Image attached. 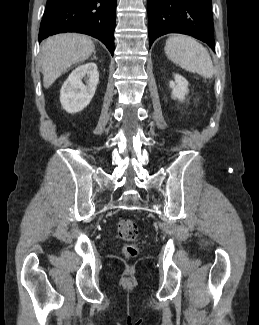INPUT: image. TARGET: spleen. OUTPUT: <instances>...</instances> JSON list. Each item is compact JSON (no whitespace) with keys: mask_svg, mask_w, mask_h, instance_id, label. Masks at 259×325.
<instances>
[{"mask_svg":"<svg viewBox=\"0 0 259 325\" xmlns=\"http://www.w3.org/2000/svg\"><path fill=\"white\" fill-rule=\"evenodd\" d=\"M166 56L181 68L205 78L214 74L212 59L203 45L185 35L169 37L165 44Z\"/></svg>","mask_w":259,"mask_h":325,"instance_id":"spleen-1","label":"spleen"}]
</instances>
